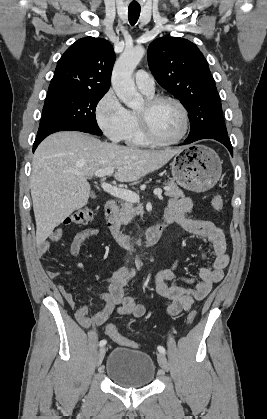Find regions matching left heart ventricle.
<instances>
[{
    "instance_id": "b2bd125f",
    "label": "left heart ventricle",
    "mask_w": 267,
    "mask_h": 419,
    "mask_svg": "<svg viewBox=\"0 0 267 419\" xmlns=\"http://www.w3.org/2000/svg\"><path fill=\"white\" fill-rule=\"evenodd\" d=\"M145 103L139 111H144ZM150 124L154 133L161 139L176 138L183 129V116L180 109L172 102L164 101L150 112Z\"/></svg>"
}]
</instances>
